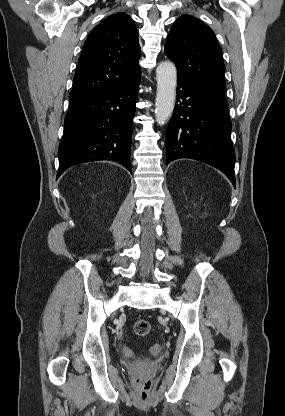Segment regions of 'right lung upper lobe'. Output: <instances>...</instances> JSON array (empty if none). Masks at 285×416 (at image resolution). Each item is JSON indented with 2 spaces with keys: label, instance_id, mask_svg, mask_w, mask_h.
I'll return each instance as SVG.
<instances>
[{
  "label": "right lung upper lobe",
  "instance_id": "1",
  "mask_svg": "<svg viewBox=\"0 0 285 416\" xmlns=\"http://www.w3.org/2000/svg\"><path fill=\"white\" fill-rule=\"evenodd\" d=\"M138 31L126 13L98 24L85 41L69 106L107 94L141 75Z\"/></svg>",
  "mask_w": 285,
  "mask_h": 416
}]
</instances>
